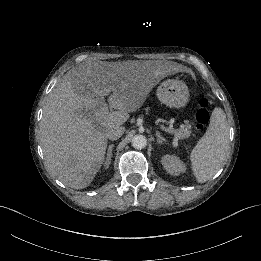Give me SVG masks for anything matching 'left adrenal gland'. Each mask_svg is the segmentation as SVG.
Masks as SVG:
<instances>
[{
    "mask_svg": "<svg viewBox=\"0 0 261 261\" xmlns=\"http://www.w3.org/2000/svg\"><path fill=\"white\" fill-rule=\"evenodd\" d=\"M156 136H157L158 143L166 142V139L160 135L159 131H156Z\"/></svg>",
    "mask_w": 261,
    "mask_h": 261,
    "instance_id": "a2214340",
    "label": "left adrenal gland"
}]
</instances>
